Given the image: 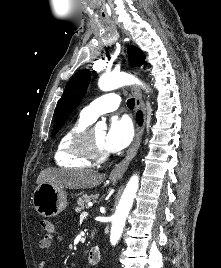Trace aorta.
Segmentation results:
<instances>
[{
	"label": "aorta",
	"instance_id": "1",
	"mask_svg": "<svg viewBox=\"0 0 221 268\" xmlns=\"http://www.w3.org/2000/svg\"><path fill=\"white\" fill-rule=\"evenodd\" d=\"M132 84H139L143 86V83L128 73L105 74L101 76L98 81V86L102 91H111L116 88ZM138 187L139 177L137 175H133L124 189L123 195L116 208V212L112 218V227L110 233V242L112 245H116L121 237L126 218L133 205Z\"/></svg>",
	"mask_w": 221,
	"mask_h": 268
}]
</instances>
